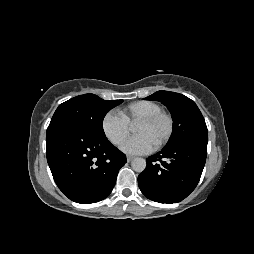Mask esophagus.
Listing matches in <instances>:
<instances>
[{"instance_id": "obj_1", "label": "esophagus", "mask_w": 254, "mask_h": 254, "mask_svg": "<svg viewBox=\"0 0 254 254\" xmlns=\"http://www.w3.org/2000/svg\"><path fill=\"white\" fill-rule=\"evenodd\" d=\"M133 158H134L133 156H127V161L130 162L133 160Z\"/></svg>"}]
</instances>
